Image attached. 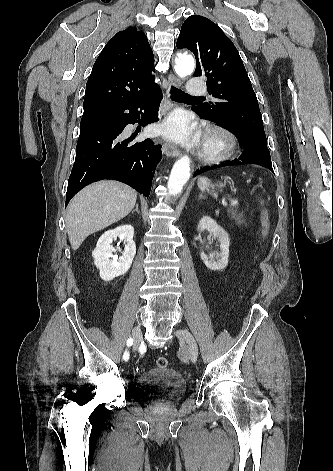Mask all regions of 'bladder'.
I'll list each match as a JSON object with an SVG mask.
<instances>
[{
  "instance_id": "bladder-1",
  "label": "bladder",
  "mask_w": 333,
  "mask_h": 471,
  "mask_svg": "<svg viewBox=\"0 0 333 471\" xmlns=\"http://www.w3.org/2000/svg\"><path fill=\"white\" fill-rule=\"evenodd\" d=\"M187 381L173 368H150L136 380L134 391L143 400L173 403L186 391Z\"/></svg>"
}]
</instances>
